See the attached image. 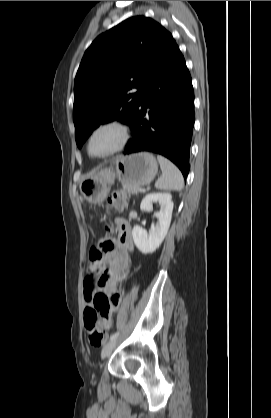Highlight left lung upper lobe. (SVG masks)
I'll return each mask as SVG.
<instances>
[{"instance_id": "obj_1", "label": "left lung upper lobe", "mask_w": 271, "mask_h": 418, "mask_svg": "<svg viewBox=\"0 0 271 418\" xmlns=\"http://www.w3.org/2000/svg\"><path fill=\"white\" fill-rule=\"evenodd\" d=\"M172 41L164 27L144 16L129 18L93 41L74 81L73 119L79 148L101 123H129ZM135 88L138 91L133 93Z\"/></svg>"}]
</instances>
